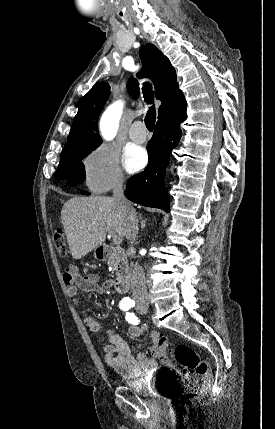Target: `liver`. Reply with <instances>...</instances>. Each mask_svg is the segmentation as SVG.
<instances>
[{"mask_svg": "<svg viewBox=\"0 0 275 429\" xmlns=\"http://www.w3.org/2000/svg\"><path fill=\"white\" fill-rule=\"evenodd\" d=\"M61 219L72 257L76 260L100 246L111 233L125 236V218L112 197H74L62 207Z\"/></svg>", "mask_w": 275, "mask_h": 429, "instance_id": "obj_1", "label": "liver"}]
</instances>
